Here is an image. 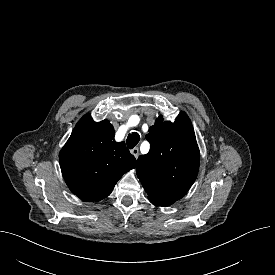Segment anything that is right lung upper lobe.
I'll return each instance as SVG.
<instances>
[{
    "mask_svg": "<svg viewBox=\"0 0 275 275\" xmlns=\"http://www.w3.org/2000/svg\"><path fill=\"white\" fill-rule=\"evenodd\" d=\"M108 120L83 116L60 151V167L69 189L83 201H100L122 175L136 167L124 142L114 140Z\"/></svg>",
    "mask_w": 275,
    "mask_h": 275,
    "instance_id": "1",
    "label": "right lung upper lobe"
}]
</instances>
